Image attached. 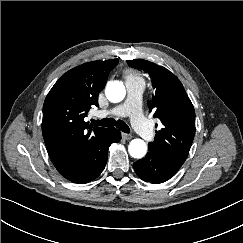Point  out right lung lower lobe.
Returning <instances> with one entry per match:
<instances>
[{
  "label": "right lung lower lobe",
  "mask_w": 243,
  "mask_h": 243,
  "mask_svg": "<svg viewBox=\"0 0 243 243\" xmlns=\"http://www.w3.org/2000/svg\"><path fill=\"white\" fill-rule=\"evenodd\" d=\"M121 133L109 128L102 142L82 159L53 160L54 166L66 179L75 183H87L98 177L105 168L108 148L111 143H118Z\"/></svg>",
  "instance_id": "obj_1"
}]
</instances>
